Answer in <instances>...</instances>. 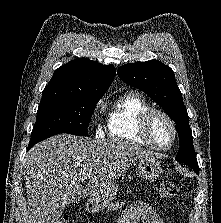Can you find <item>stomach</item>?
<instances>
[{"instance_id": "1", "label": "stomach", "mask_w": 221, "mask_h": 223, "mask_svg": "<svg viewBox=\"0 0 221 223\" xmlns=\"http://www.w3.org/2000/svg\"><path fill=\"white\" fill-rule=\"evenodd\" d=\"M163 172L162 166L155 158L140 159L138 174L145 180H156ZM118 185H113L103 192L91 196L86 203L88 212L95 213L107 207L116 198Z\"/></svg>"}]
</instances>
